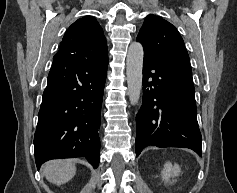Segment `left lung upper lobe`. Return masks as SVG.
Instances as JSON below:
<instances>
[{
	"instance_id": "1",
	"label": "left lung upper lobe",
	"mask_w": 237,
	"mask_h": 193,
	"mask_svg": "<svg viewBox=\"0 0 237 193\" xmlns=\"http://www.w3.org/2000/svg\"><path fill=\"white\" fill-rule=\"evenodd\" d=\"M144 55L175 70L192 75L189 55L182 37L168 21L148 15L137 36Z\"/></svg>"
}]
</instances>
